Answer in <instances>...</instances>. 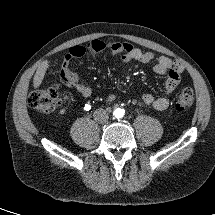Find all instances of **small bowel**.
Wrapping results in <instances>:
<instances>
[{
	"mask_svg": "<svg viewBox=\"0 0 215 215\" xmlns=\"http://www.w3.org/2000/svg\"><path fill=\"white\" fill-rule=\"evenodd\" d=\"M106 49L111 50L115 54H121L122 63L137 61L152 64L153 71L161 77L162 86L168 91H172L179 82L182 66L165 56H156L151 52L141 50L129 43H105L100 40H93L86 46L72 47L62 63L64 78L68 85L79 92L83 98H89L92 94V89L82 85L78 81L77 76L69 70V66L76 59H82L88 55L100 53ZM84 65L89 68L87 63H84ZM113 99V95L108 96V100ZM143 100L157 110H165L172 103L170 96L155 99L149 93L143 95Z\"/></svg>",
	"mask_w": 215,
	"mask_h": 215,
	"instance_id": "1",
	"label": "small bowel"
}]
</instances>
